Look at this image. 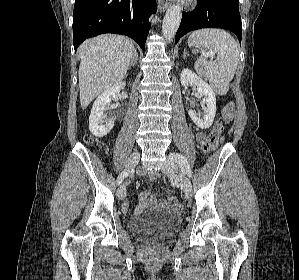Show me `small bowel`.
<instances>
[{
    "instance_id": "c3829d8e",
    "label": "small bowel",
    "mask_w": 299,
    "mask_h": 280,
    "mask_svg": "<svg viewBox=\"0 0 299 280\" xmlns=\"http://www.w3.org/2000/svg\"><path fill=\"white\" fill-rule=\"evenodd\" d=\"M206 139V134L204 132H198L197 134V140L199 143H203L204 140ZM158 177L157 172H150L149 173V178L151 180H155ZM140 205L136 209V213H140L143 209L146 208H154V207H166L170 204H172L175 201L174 196H170L167 200H163L160 203L157 202L155 196L150 192V191H143L140 194ZM128 203L123 204L122 209L124 212L128 210Z\"/></svg>"
}]
</instances>
